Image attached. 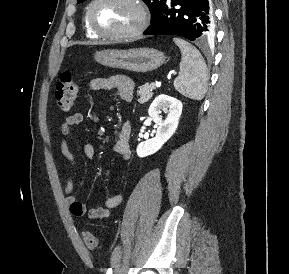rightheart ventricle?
Masks as SVG:
<instances>
[{
    "label": "right heart ventricle",
    "instance_id": "right-heart-ventricle-1",
    "mask_svg": "<svg viewBox=\"0 0 289 274\" xmlns=\"http://www.w3.org/2000/svg\"><path fill=\"white\" fill-rule=\"evenodd\" d=\"M84 29L86 31V34L89 36V37H96L97 35L89 28L88 24H87V20H86V15L84 17Z\"/></svg>",
    "mask_w": 289,
    "mask_h": 274
}]
</instances>
